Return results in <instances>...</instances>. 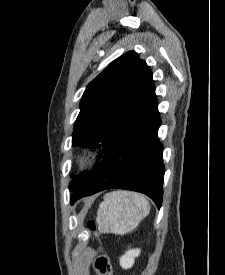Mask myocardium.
Here are the masks:
<instances>
[{"mask_svg": "<svg viewBox=\"0 0 225 275\" xmlns=\"http://www.w3.org/2000/svg\"><path fill=\"white\" fill-rule=\"evenodd\" d=\"M94 163H95V157L90 154H86L80 158L79 167L87 168L92 166Z\"/></svg>", "mask_w": 225, "mask_h": 275, "instance_id": "obj_1", "label": "myocardium"}]
</instances>
